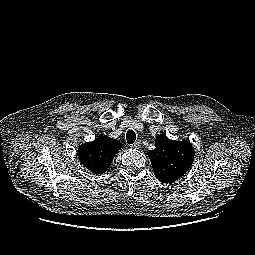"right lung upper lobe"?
<instances>
[{"instance_id":"1","label":"right lung upper lobe","mask_w":255,"mask_h":255,"mask_svg":"<svg viewBox=\"0 0 255 255\" xmlns=\"http://www.w3.org/2000/svg\"><path fill=\"white\" fill-rule=\"evenodd\" d=\"M121 147L122 145L118 140L102 136L92 142L81 144L78 155L81 164L88 170L95 174H103Z\"/></svg>"}]
</instances>
